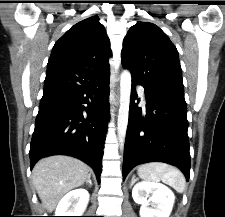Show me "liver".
<instances>
[{
    "label": "liver",
    "mask_w": 225,
    "mask_h": 217,
    "mask_svg": "<svg viewBox=\"0 0 225 217\" xmlns=\"http://www.w3.org/2000/svg\"><path fill=\"white\" fill-rule=\"evenodd\" d=\"M89 170L87 164L70 156L39 160L32 170V181L43 207L51 213L67 192L87 180Z\"/></svg>",
    "instance_id": "obj_1"
}]
</instances>
